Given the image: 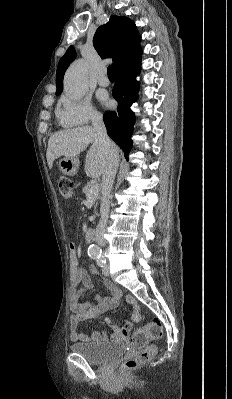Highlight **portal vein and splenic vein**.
<instances>
[{
    "label": "portal vein and splenic vein",
    "instance_id": "portal-vein-and-splenic-vein-1",
    "mask_svg": "<svg viewBox=\"0 0 232 399\" xmlns=\"http://www.w3.org/2000/svg\"><path fill=\"white\" fill-rule=\"evenodd\" d=\"M99 192V184H94L93 188H91L89 194L90 196H88V198H94V196H97Z\"/></svg>",
    "mask_w": 232,
    "mask_h": 399
}]
</instances>
